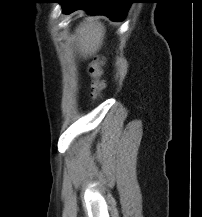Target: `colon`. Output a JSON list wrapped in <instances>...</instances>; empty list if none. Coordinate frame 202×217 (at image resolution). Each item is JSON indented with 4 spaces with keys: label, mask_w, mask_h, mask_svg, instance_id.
<instances>
[{
    "label": "colon",
    "mask_w": 202,
    "mask_h": 217,
    "mask_svg": "<svg viewBox=\"0 0 202 217\" xmlns=\"http://www.w3.org/2000/svg\"><path fill=\"white\" fill-rule=\"evenodd\" d=\"M102 66H103V59L98 57L91 63L89 67V73L92 78L93 99H98L100 97V93L104 87V83L101 78Z\"/></svg>",
    "instance_id": "colon-1"
}]
</instances>
